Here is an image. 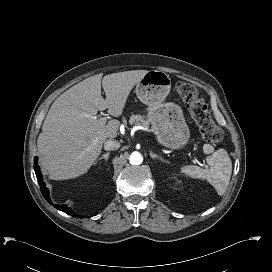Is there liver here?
Returning a JSON list of instances; mask_svg holds the SVG:
<instances>
[{
    "mask_svg": "<svg viewBox=\"0 0 272 272\" xmlns=\"http://www.w3.org/2000/svg\"><path fill=\"white\" fill-rule=\"evenodd\" d=\"M147 70L94 75L62 93L51 105L37 140L40 164L53 180L85 174L101 153L107 138L117 137L120 122L106 125L97 118L98 110L122 115L133 87ZM102 87L106 99L101 96Z\"/></svg>",
    "mask_w": 272,
    "mask_h": 272,
    "instance_id": "1",
    "label": "liver"
}]
</instances>
